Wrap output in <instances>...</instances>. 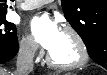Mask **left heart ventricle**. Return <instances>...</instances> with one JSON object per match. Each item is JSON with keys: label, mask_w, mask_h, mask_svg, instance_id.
Listing matches in <instances>:
<instances>
[{"label": "left heart ventricle", "mask_w": 107, "mask_h": 75, "mask_svg": "<svg viewBox=\"0 0 107 75\" xmlns=\"http://www.w3.org/2000/svg\"><path fill=\"white\" fill-rule=\"evenodd\" d=\"M53 60L59 64H70L79 59L80 53L75 40L62 32L55 48L50 52Z\"/></svg>", "instance_id": "b2bd125f"}]
</instances>
